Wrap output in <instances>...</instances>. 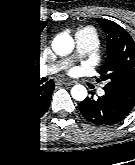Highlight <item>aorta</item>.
I'll return each instance as SVG.
<instances>
[{
	"label": "aorta",
	"instance_id": "762f6f07",
	"mask_svg": "<svg viewBox=\"0 0 135 165\" xmlns=\"http://www.w3.org/2000/svg\"><path fill=\"white\" fill-rule=\"evenodd\" d=\"M55 51L58 54H68L73 49V41L70 37H64L55 45ZM72 97L77 101H83L87 97V90L83 85H75L71 89Z\"/></svg>",
	"mask_w": 135,
	"mask_h": 165
}]
</instances>
